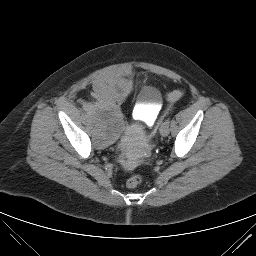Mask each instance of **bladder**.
<instances>
[{"instance_id": "31cf9c89", "label": "bladder", "mask_w": 256, "mask_h": 256, "mask_svg": "<svg viewBox=\"0 0 256 256\" xmlns=\"http://www.w3.org/2000/svg\"><path fill=\"white\" fill-rule=\"evenodd\" d=\"M98 99L88 105L96 141L102 147L116 142L123 132V116L114 97L126 96L130 89V82L124 78H109L97 82ZM141 108L159 106L162 95L158 88L145 86L140 93Z\"/></svg>"}]
</instances>
